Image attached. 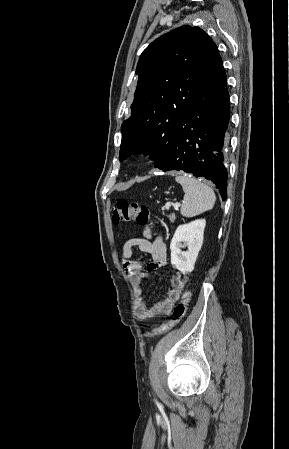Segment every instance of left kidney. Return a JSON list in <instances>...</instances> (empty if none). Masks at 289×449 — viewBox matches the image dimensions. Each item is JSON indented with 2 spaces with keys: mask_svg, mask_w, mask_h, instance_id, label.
<instances>
[{
  "mask_svg": "<svg viewBox=\"0 0 289 449\" xmlns=\"http://www.w3.org/2000/svg\"><path fill=\"white\" fill-rule=\"evenodd\" d=\"M205 219L178 226L171 240V264L182 273H190L203 244ZM186 251H181V248Z\"/></svg>",
  "mask_w": 289,
  "mask_h": 449,
  "instance_id": "5707ae66",
  "label": "left kidney"
}]
</instances>
